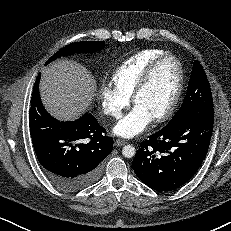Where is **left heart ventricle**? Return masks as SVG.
Wrapping results in <instances>:
<instances>
[{"label": "left heart ventricle", "instance_id": "b2bd125f", "mask_svg": "<svg viewBox=\"0 0 231 231\" xmlns=\"http://www.w3.org/2000/svg\"><path fill=\"white\" fill-rule=\"evenodd\" d=\"M178 80V69L174 60L161 62L152 78L138 97L135 106L149 113L154 119L168 107Z\"/></svg>", "mask_w": 231, "mask_h": 231}]
</instances>
